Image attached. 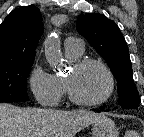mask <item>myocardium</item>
Returning a JSON list of instances; mask_svg holds the SVG:
<instances>
[{
    "mask_svg": "<svg viewBox=\"0 0 144 137\" xmlns=\"http://www.w3.org/2000/svg\"><path fill=\"white\" fill-rule=\"evenodd\" d=\"M88 65L99 66L107 76L108 89L102 98L95 100V101L81 100L75 95V93L72 89V86H71L70 79L67 76H65L63 81H64V86H65V91L67 93V96L73 104L81 106V107H96V106H100V105L104 104L105 102H107L113 95L114 90H115V78H114V75H113L111 69L103 61H101L99 59H95V58H83V59L76 60L72 64L71 70L78 71Z\"/></svg>",
    "mask_w": 144,
    "mask_h": 137,
    "instance_id": "obj_1",
    "label": "myocardium"
}]
</instances>
